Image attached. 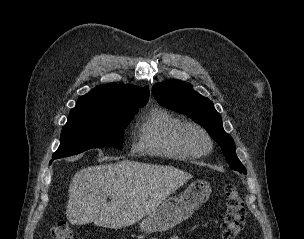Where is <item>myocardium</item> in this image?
<instances>
[{"mask_svg": "<svg viewBox=\"0 0 304 239\" xmlns=\"http://www.w3.org/2000/svg\"><path fill=\"white\" fill-rule=\"evenodd\" d=\"M189 130L199 131L206 139L207 145L204 149L193 148L186 139ZM175 141L177 145L190 157L199 158L206 156L213 148V140L206 128L195 122H183L175 131Z\"/></svg>", "mask_w": 304, "mask_h": 239, "instance_id": "obj_1", "label": "myocardium"}]
</instances>
